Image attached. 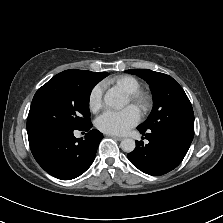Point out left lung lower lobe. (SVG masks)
Masks as SVG:
<instances>
[{"label": "left lung lower lobe", "instance_id": "0a47b994", "mask_svg": "<svg viewBox=\"0 0 223 223\" xmlns=\"http://www.w3.org/2000/svg\"><path fill=\"white\" fill-rule=\"evenodd\" d=\"M137 129L149 141H136L135 149L127 154L130 162L149 175H162L176 168L185 157L193 140L191 134L171 129Z\"/></svg>", "mask_w": 223, "mask_h": 223}]
</instances>
